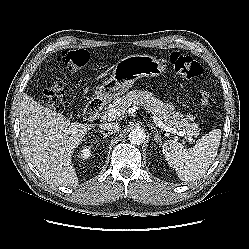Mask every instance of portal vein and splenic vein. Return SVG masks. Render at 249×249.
Segmentation results:
<instances>
[{
    "instance_id": "obj_1",
    "label": "portal vein and splenic vein",
    "mask_w": 249,
    "mask_h": 249,
    "mask_svg": "<svg viewBox=\"0 0 249 249\" xmlns=\"http://www.w3.org/2000/svg\"><path fill=\"white\" fill-rule=\"evenodd\" d=\"M120 115H121V112L118 109L113 108V109H109L105 111L103 118L108 119V120H111V119L114 120V119H117ZM153 120L156 126L161 128L162 130L169 132L171 134L178 135V136H184L181 131H178L175 128L164 124L157 116H153Z\"/></svg>"
}]
</instances>
